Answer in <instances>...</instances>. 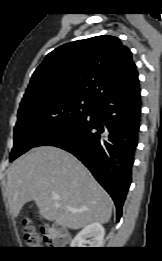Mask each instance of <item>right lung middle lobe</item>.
Here are the masks:
<instances>
[{"label":"right lung middle lobe","mask_w":162,"mask_h":261,"mask_svg":"<svg viewBox=\"0 0 162 261\" xmlns=\"http://www.w3.org/2000/svg\"><path fill=\"white\" fill-rule=\"evenodd\" d=\"M93 105L94 101L73 95L23 100L14 128V147L10 161L34 147L43 137L57 128L86 116Z\"/></svg>","instance_id":"right-lung-middle-lobe-1"}]
</instances>
